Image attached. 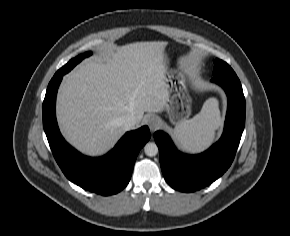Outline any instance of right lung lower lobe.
<instances>
[{
  "label": "right lung lower lobe",
  "mask_w": 290,
  "mask_h": 236,
  "mask_svg": "<svg viewBox=\"0 0 290 236\" xmlns=\"http://www.w3.org/2000/svg\"><path fill=\"white\" fill-rule=\"evenodd\" d=\"M63 75L51 79L42 107L43 127L54 158L65 176L83 189L101 195L118 193L129 183L137 155L151 137L149 128L127 132L103 157L80 154L64 140L56 121V94Z\"/></svg>",
  "instance_id": "1"
}]
</instances>
